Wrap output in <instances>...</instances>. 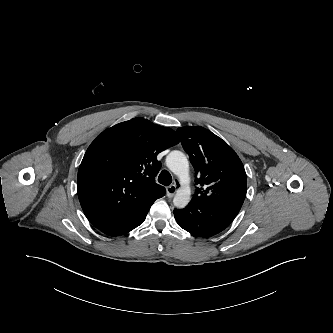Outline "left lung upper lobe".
Instances as JSON below:
<instances>
[{
  "label": "left lung upper lobe",
  "mask_w": 333,
  "mask_h": 333,
  "mask_svg": "<svg viewBox=\"0 0 333 333\" xmlns=\"http://www.w3.org/2000/svg\"><path fill=\"white\" fill-rule=\"evenodd\" d=\"M181 143L199 177L195 200L223 193L240 192L245 199L246 172L235 151L221 138L203 127L177 129Z\"/></svg>",
  "instance_id": "left-lung-upper-lobe-1"
}]
</instances>
